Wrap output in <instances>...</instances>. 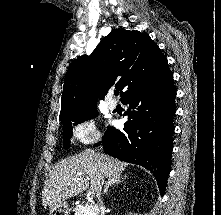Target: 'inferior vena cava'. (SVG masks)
I'll return each mask as SVG.
<instances>
[{
	"label": "inferior vena cava",
	"mask_w": 221,
	"mask_h": 215,
	"mask_svg": "<svg viewBox=\"0 0 221 215\" xmlns=\"http://www.w3.org/2000/svg\"><path fill=\"white\" fill-rule=\"evenodd\" d=\"M99 150V149H98ZM104 185V177H100L98 183H97V187H96V197L98 199V201L101 204V208L103 207V202H102V198H101V191H102V186Z\"/></svg>",
	"instance_id": "1"
}]
</instances>
